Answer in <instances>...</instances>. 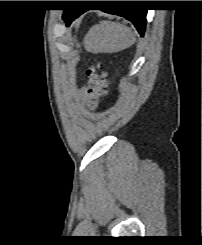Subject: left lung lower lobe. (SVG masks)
<instances>
[{
    "mask_svg": "<svg viewBox=\"0 0 202 245\" xmlns=\"http://www.w3.org/2000/svg\"><path fill=\"white\" fill-rule=\"evenodd\" d=\"M124 4H137L133 1H126ZM85 11L84 9H67L64 10V21L67 25H70V23L76 19L78 16L83 14ZM104 12L110 13V14H116L118 16H122L126 18L127 20L131 21L141 36L144 35L145 31V25H146V13L147 10L141 9V8H117V9H109V10H102Z\"/></svg>",
    "mask_w": 202,
    "mask_h": 245,
    "instance_id": "0a47b994",
    "label": "left lung lower lobe"
}]
</instances>
